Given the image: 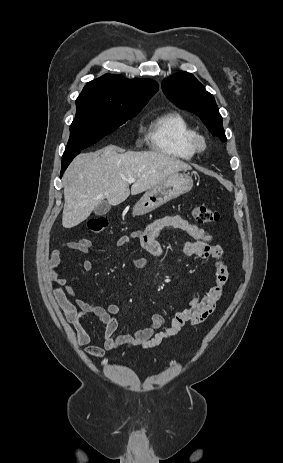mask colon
Wrapping results in <instances>:
<instances>
[{
	"instance_id": "1",
	"label": "colon",
	"mask_w": 283,
	"mask_h": 463,
	"mask_svg": "<svg viewBox=\"0 0 283 463\" xmlns=\"http://www.w3.org/2000/svg\"><path fill=\"white\" fill-rule=\"evenodd\" d=\"M193 216L198 223L210 224L219 220V212L206 205H196L193 210ZM108 225V221L103 216L93 217L88 219L87 227L93 233L103 232Z\"/></svg>"
}]
</instances>
